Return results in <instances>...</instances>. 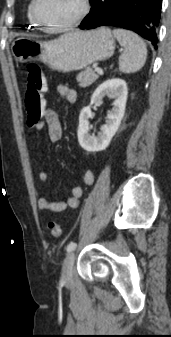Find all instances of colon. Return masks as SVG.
<instances>
[{"instance_id": "5ec220e1", "label": "colon", "mask_w": 171, "mask_h": 337, "mask_svg": "<svg viewBox=\"0 0 171 337\" xmlns=\"http://www.w3.org/2000/svg\"><path fill=\"white\" fill-rule=\"evenodd\" d=\"M45 88L46 78L41 66L37 63L28 64L25 107L30 125L36 123L40 116L46 115V110L43 109V107L48 106V101L45 100L46 97L43 94ZM48 228L53 237L57 238L61 236L62 229L57 222H50Z\"/></svg>"}]
</instances>
